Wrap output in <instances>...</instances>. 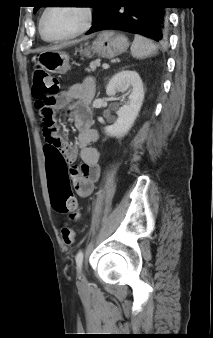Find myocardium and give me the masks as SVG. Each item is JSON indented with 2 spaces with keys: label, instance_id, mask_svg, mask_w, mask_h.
Returning <instances> with one entry per match:
<instances>
[{
  "label": "myocardium",
  "instance_id": "1",
  "mask_svg": "<svg viewBox=\"0 0 213 338\" xmlns=\"http://www.w3.org/2000/svg\"><path fill=\"white\" fill-rule=\"evenodd\" d=\"M53 8H55V7H53V5L47 7L44 10V12L42 13L40 20H39V33L41 35V38L44 41L50 42V43H58V42L74 39L76 37L83 35L84 33H86L90 29V27L92 25V21H93V10H92L91 7L81 4L78 8H80L84 13V22L78 30H76L75 32H73L71 34L63 36V37H59V38H55V39L46 38L44 36V33H43V24H44V20H45L46 15Z\"/></svg>",
  "mask_w": 213,
  "mask_h": 338
}]
</instances>
